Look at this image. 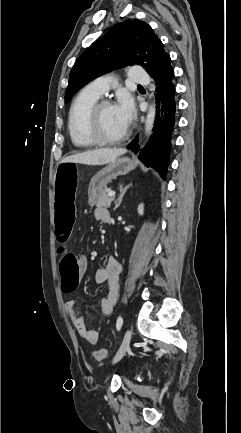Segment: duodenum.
<instances>
[{"mask_svg":"<svg viewBox=\"0 0 241 433\" xmlns=\"http://www.w3.org/2000/svg\"><path fill=\"white\" fill-rule=\"evenodd\" d=\"M106 222H107L108 224H110V223H111V218H110V217L107 218V219H106Z\"/></svg>","mask_w":241,"mask_h":433,"instance_id":"410a0bca","label":"duodenum"}]
</instances>
